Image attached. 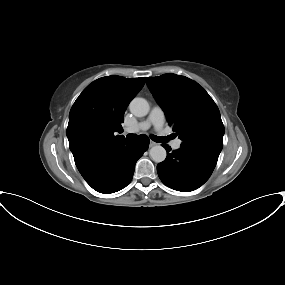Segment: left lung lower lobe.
<instances>
[{
  "label": "left lung lower lobe",
  "mask_w": 285,
  "mask_h": 285,
  "mask_svg": "<svg viewBox=\"0 0 285 285\" xmlns=\"http://www.w3.org/2000/svg\"><path fill=\"white\" fill-rule=\"evenodd\" d=\"M163 146L167 157L157 165L158 175L166 186L182 192L193 191L202 186L212 174L219 157L212 152L182 145L172 152L168 145Z\"/></svg>",
  "instance_id": "obj_1"
}]
</instances>
